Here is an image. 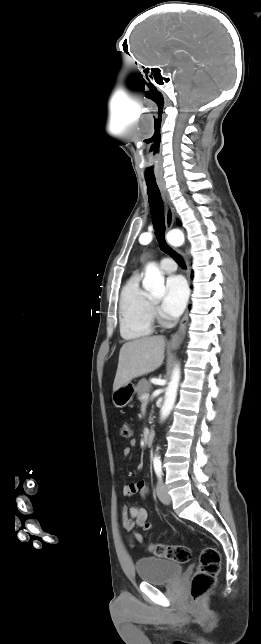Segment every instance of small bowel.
I'll use <instances>...</instances> for the list:
<instances>
[{"label":"small bowel","mask_w":261,"mask_h":644,"mask_svg":"<svg viewBox=\"0 0 261 644\" xmlns=\"http://www.w3.org/2000/svg\"><path fill=\"white\" fill-rule=\"evenodd\" d=\"M131 445L134 446L135 441H132ZM130 453L131 448L125 447L123 450L124 456H129ZM147 491L148 485L147 482L143 479L124 484L122 488L124 496H131L136 493L145 495ZM122 521L125 530L132 533V536L129 537V540L132 544L134 542H143L144 538L140 533V530L149 532L154 528V525L148 520V513L146 509L138 505H133L130 507L123 506Z\"/></svg>","instance_id":"obj_1"}]
</instances>
